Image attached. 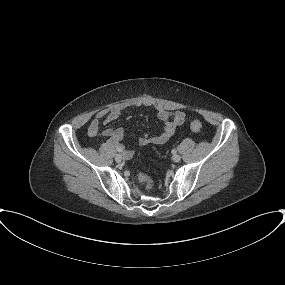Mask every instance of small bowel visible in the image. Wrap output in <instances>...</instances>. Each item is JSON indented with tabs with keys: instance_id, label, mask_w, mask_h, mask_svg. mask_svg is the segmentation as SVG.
I'll list each match as a JSON object with an SVG mask.
<instances>
[{
	"instance_id": "1",
	"label": "small bowel",
	"mask_w": 285,
	"mask_h": 285,
	"mask_svg": "<svg viewBox=\"0 0 285 285\" xmlns=\"http://www.w3.org/2000/svg\"><path fill=\"white\" fill-rule=\"evenodd\" d=\"M139 106L154 107L157 111L158 117L164 121L163 131L161 134L156 136L143 135L138 139V143L141 146L149 144H165L174 135L176 128L184 122V115L181 111H171L161 104L153 103L152 101L144 99L117 104L108 109L100 111L91 121L87 130V135L90 138L97 137L101 125H107L118 119L127 109ZM102 134L107 138V143L110 146L121 148L122 151L126 152L129 157L132 155L131 151L125 149L124 146L120 143L124 137V131L122 128H106Z\"/></svg>"
}]
</instances>
